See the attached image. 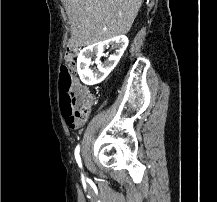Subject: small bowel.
<instances>
[{
	"mask_svg": "<svg viewBox=\"0 0 217 202\" xmlns=\"http://www.w3.org/2000/svg\"><path fill=\"white\" fill-rule=\"evenodd\" d=\"M78 95H89L87 89L82 86L80 83L76 82V96H77V100H78ZM85 100H78V102L83 103ZM89 102H91V100H89ZM90 116V111L89 109H87V111L85 112L84 116H79V127H82L84 122L89 118Z\"/></svg>",
	"mask_w": 217,
	"mask_h": 202,
	"instance_id": "obj_1",
	"label": "small bowel"
}]
</instances>
